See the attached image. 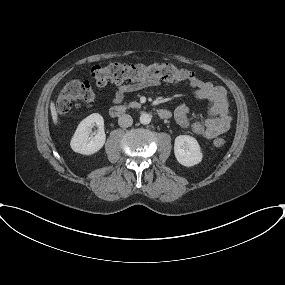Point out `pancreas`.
Masks as SVG:
<instances>
[{
    "label": "pancreas",
    "mask_w": 285,
    "mask_h": 285,
    "mask_svg": "<svg viewBox=\"0 0 285 285\" xmlns=\"http://www.w3.org/2000/svg\"><path fill=\"white\" fill-rule=\"evenodd\" d=\"M129 106H130V107H140L141 104L138 103V102H131V103L129 104Z\"/></svg>",
    "instance_id": "pancreas-1"
}]
</instances>
